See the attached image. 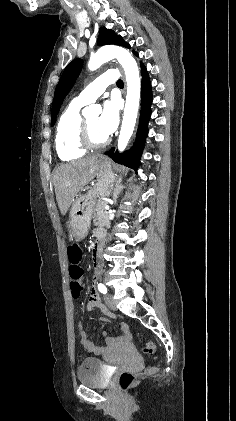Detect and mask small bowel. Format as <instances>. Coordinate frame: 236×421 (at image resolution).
<instances>
[{"label": "small bowel", "instance_id": "obj_1", "mask_svg": "<svg viewBox=\"0 0 236 421\" xmlns=\"http://www.w3.org/2000/svg\"><path fill=\"white\" fill-rule=\"evenodd\" d=\"M98 303H99V296H98V294L96 293L95 290H92L91 291V294H90L89 304H88L89 305V308L94 307ZM122 327L124 328V330H127L128 331V328H127L126 325H122Z\"/></svg>", "mask_w": 236, "mask_h": 421}]
</instances>
